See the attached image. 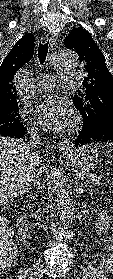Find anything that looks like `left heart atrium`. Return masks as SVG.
I'll list each match as a JSON object with an SVG mask.
<instances>
[{"mask_svg":"<svg viewBox=\"0 0 113 279\" xmlns=\"http://www.w3.org/2000/svg\"><path fill=\"white\" fill-rule=\"evenodd\" d=\"M41 125L51 131H62L73 121L70 104L63 98L50 96L40 102L36 110Z\"/></svg>","mask_w":113,"mask_h":279,"instance_id":"1","label":"left heart atrium"}]
</instances>
